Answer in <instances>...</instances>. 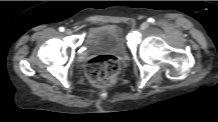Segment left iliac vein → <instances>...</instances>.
<instances>
[{"label": "left iliac vein", "mask_w": 218, "mask_h": 122, "mask_svg": "<svg viewBox=\"0 0 218 122\" xmlns=\"http://www.w3.org/2000/svg\"><path fill=\"white\" fill-rule=\"evenodd\" d=\"M148 27H149V23H148V22H143V23L141 24V26H140V28H141L142 30L147 29Z\"/></svg>", "instance_id": "1"}]
</instances>
